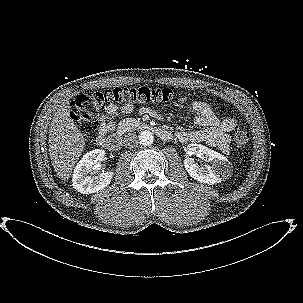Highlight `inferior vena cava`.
<instances>
[{
    "instance_id": "1",
    "label": "inferior vena cava",
    "mask_w": 303,
    "mask_h": 303,
    "mask_svg": "<svg viewBox=\"0 0 303 303\" xmlns=\"http://www.w3.org/2000/svg\"><path fill=\"white\" fill-rule=\"evenodd\" d=\"M124 142L126 143V146L134 147L137 145V135L135 133H128L125 135Z\"/></svg>"
}]
</instances>
